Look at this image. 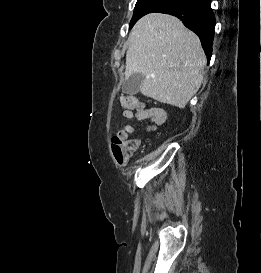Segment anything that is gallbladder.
I'll list each match as a JSON object with an SVG mask.
<instances>
[{
  "label": "gallbladder",
  "mask_w": 261,
  "mask_h": 273,
  "mask_svg": "<svg viewBox=\"0 0 261 273\" xmlns=\"http://www.w3.org/2000/svg\"><path fill=\"white\" fill-rule=\"evenodd\" d=\"M144 80L141 73H133L123 84L122 92L127 95H135L139 92L140 86Z\"/></svg>",
  "instance_id": "1"
}]
</instances>
